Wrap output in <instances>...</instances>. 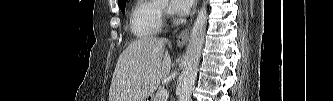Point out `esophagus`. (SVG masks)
Wrapping results in <instances>:
<instances>
[{
    "mask_svg": "<svg viewBox=\"0 0 333 101\" xmlns=\"http://www.w3.org/2000/svg\"><path fill=\"white\" fill-rule=\"evenodd\" d=\"M197 2H198V1L196 0V1H195V7H194V10H193L192 15H191V23H192V18H193V16H194V14L196 13ZM188 39H189V27L186 28V29H184V30L178 35L177 40H176L177 45H178V46H184V45L187 43Z\"/></svg>",
    "mask_w": 333,
    "mask_h": 101,
    "instance_id": "esophagus-1",
    "label": "esophagus"
}]
</instances>
